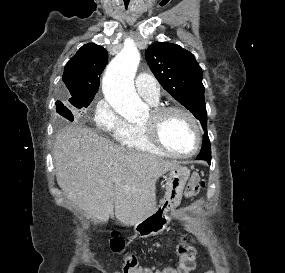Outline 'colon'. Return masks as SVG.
<instances>
[{"label": "colon", "mask_w": 285, "mask_h": 273, "mask_svg": "<svg viewBox=\"0 0 285 273\" xmlns=\"http://www.w3.org/2000/svg\"><path fill=\"white\" fill-rule=\"evenodd\" d=\"M205 187V182L198 174H193L186 185L184 195L190 199L195 197L201 189ZM112 252L122 255V273H152L151 269L142 268L138 259L133 255H125V242L120 237H113L109 241ZM196 248L188 239H183L177 246L178 261L173 267L174 273H190L196 266Z\"/></svg>", "instance_id": "colon-1"}]
</instances>
